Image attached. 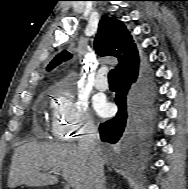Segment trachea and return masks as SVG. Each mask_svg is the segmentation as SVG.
<instances>
[{
    "label": "trachea",
    "instance_id": "trachea-1",
    "mask_svg": "<svg viewBox=\"0 0 188 189\" xmlns=\"http://www.w3.org/2000/svg\"><path fill=\"white\" fill-rule=\"evenodd\" d=\"M109 82L116 83L117 82V74L114 69H112L108 74Z\"/></svg>",
    "mask_w": 188,
    "mask_h": 189
}]
</instances>
